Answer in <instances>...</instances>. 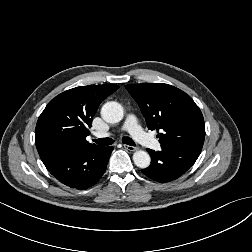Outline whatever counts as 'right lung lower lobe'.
<instances>
[{
  "label": "right lung lower lobe",
  "mask_w": 252,
  "mask_h": 252,
  "mask_svg": "<svg viewBox=\"0 0 252 252\" xmlns=\"http://www.w3.org/2000/svg\"><path fill=\"white\" fill-rule=\"evenodd\" d=\"M112 151L113 147L76 148L59 152L43 163L60 182L82 190L102 177Z\"/></svg>",
  "instance_id": "98d812e1"
}]
</instances>
